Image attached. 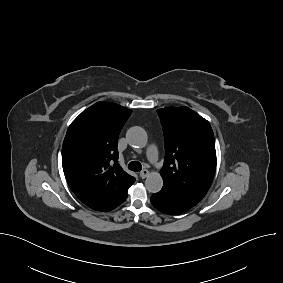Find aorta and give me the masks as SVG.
Returning <instances> with one entry per match:
<instances>
[{"instance_id": "aorta-1", "label": "aorta", "mask_w": 283, "mask_h": 283, "mask_svg": "<svg viewBox=\"0 0 283 283\" xmlns=\"http://www.w3.org/2000/svg\"><path fill=\"white\" fill-rule=\"evenodd\" d=\"M127 141L130 146L143 148L147 145L148 137L146 131L139 127H131L126 134ZM163 179L157 172L150 173L145 180V187L151 193H157L162 189Z\"/></svg>"}]
</instances>
